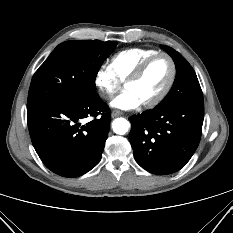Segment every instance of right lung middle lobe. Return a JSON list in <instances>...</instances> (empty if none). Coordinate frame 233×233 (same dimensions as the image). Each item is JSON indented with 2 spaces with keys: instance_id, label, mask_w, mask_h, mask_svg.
<instances>
[{
  "instance_id": "obj_1",
  "label": "right lung middle lobe",
  "mask_w": 233,
  "mask_h": 233,
  "mask_svg": "<svg viewBox=\"0 0 233 233\" xmlns=\"http://www.w3.org/2000/svg\"><path fill=\"white\" fill-rule=\"evenodd\" d=\"M117 43L71 40L59 44L34 74L27 107L82 97L95 89V78Z\"/></svg>"
}]
</instances>
